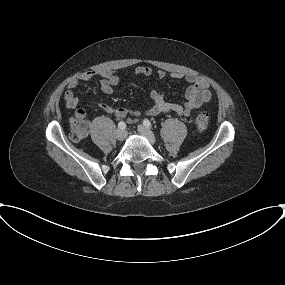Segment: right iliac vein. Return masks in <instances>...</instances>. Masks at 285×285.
I'll return each instance as SVG.
<instances>
[{
	"mask_svg": "<svg viewBox=\"0 0 285 285\" xmlns=\"http://www.w3.org/2000/svg\"><path fill=\"white\" fill-rule=\"evenodd\" d=\"M116 139L122 141L126 138L127 132L125 130L118 129L115 133Z\"/></svg>",
	"mask_w": 285,
	"mask_h": 285,
	"instance_id": "1",
	"label": "right iliac vein"
}]
</instances>
